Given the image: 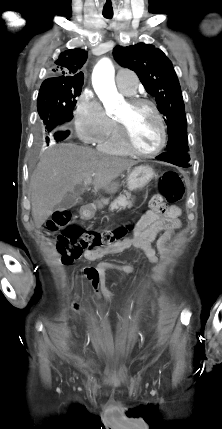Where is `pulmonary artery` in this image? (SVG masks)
Segmentation results:
<instances>
[{"label": "pulmonary artery", "mask_w": 222, "mask_h": 429, "mask_svg": "<svg viewBox=\"0 0 222 429\" xmlns=\"http://www.w3.org/2000/svg\"><path fill=\"white\" fill-rule=\"evenodd\" d=\"M117 87L127 95L134 94L138 87V79L134 72L130 70H120L116 76Z\"/></svg>", "instance_id": "1"}]
</instances>
